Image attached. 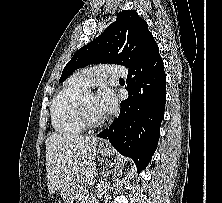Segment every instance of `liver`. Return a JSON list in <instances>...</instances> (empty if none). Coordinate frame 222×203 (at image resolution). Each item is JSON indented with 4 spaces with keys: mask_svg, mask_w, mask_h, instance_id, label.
Listing matches in <instances>:
<instances>
[{
    "mask_svg": "<svg viewBox=\"0 0 222 203\" xmlns=\"http://www.w3.org/2000/svg\"><path fill=\"white\" fill-rule=\"evenodd\" d=\"M45 143L50 194L75 178H82L95 168L97 138L54 133L46 139Z\"/></svg>",
    "mask_w": 222,
    "mask_h": 203,
    "instance_id": "6515ba94",
    "label": "liver"
}]
</instances>
